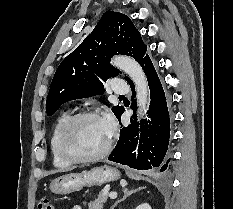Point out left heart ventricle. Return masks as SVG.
I'll list each match as a JSON object with an SVG mask.
<instances>
[{
	"instance_id": "obj_1",
	"label": "left heart ventricle",
	"mask_w": 233,
	"mask_h": 209,
	"mask_svg": "<svg viewBox=\"0 0 233 209\" xmlns=\"http://www.w3.org/2000/svg\"><path fill=\"white\" fill-rule=\"evenodd\" d=\"M108 133L100 118H85L73 128L68 147L78 156L98 153L106 144Z\"/></svg>"
}]
</instances>
